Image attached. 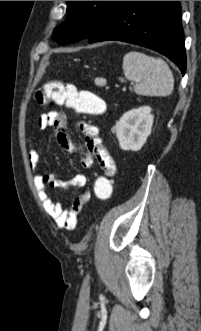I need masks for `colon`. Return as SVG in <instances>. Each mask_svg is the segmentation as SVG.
Here are the masks:
<instances>
[{"label":"colon","instance_id":"obj_1","mask_svg":"<svg viewBox=\"0 0 201 331\" xmlns=\"http://www.w3.org/2000/svg\"><path fill=\"white\" fill-rule=\"evenodd\" d=\"M36 99L40 104L55 103L86 115H98L105 109L104 101L97 95L61 81L45 83L38 90ZM112 191V180L103 174L99 175L94 183V197L99 201H106L111 197Z\"/></svg>","mask_w":201,"mask_h":331}]
</instances>
